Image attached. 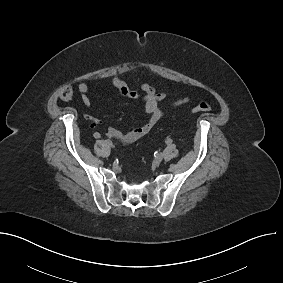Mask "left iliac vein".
I'll use <instances>...</instances> for the list:
<instances>
[{"label": "left iliac vein", "mask_w": 283, "mask_h": 283, "mask_svg": "<svg viewBox=\"0 0 283 283\" xmlns=\"http://www.w3.org/2000/svg\"><path fill=\"white\" fill-rule=\"evenodd\" d=\"M163 154L162 153H160V154H158L156 157H155V162L156 163H160L162 160H163Z\"/></svg>", "instance_id": "obj_1"}]
</instances>
